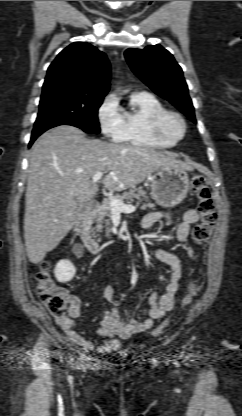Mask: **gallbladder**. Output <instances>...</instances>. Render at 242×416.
Returning <instances> with one entry per match:
<instances>
[{
	"label": "gallbladder",
	"mask_w": 242,
	"mask_h": 416,
	"mask_svg": "<svg viewBox=\"0 0 242 416\" xmlns=\"http://www.w3.org/2000/svg\"><path fill=\"white\" fill-rule=\"evenodd\" d=\"M77 202H78V205H79L80 212L81 213L85 212V210H86V204L85 203H82V202H79V201H77Z\"/></svg>",
	"instance_id": "1"
}]
</instances>
